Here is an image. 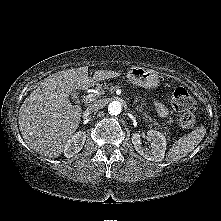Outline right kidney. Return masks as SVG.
I'll return each mask as SVG.
<instances>
[{
  "label": "right kidney",
  "mask_w": 221,
  "mask_h": 221,
  "mask_svg": "<svg viewBox=\"0 0 221 221\" xmlns=\"http://www.w3.org/2000/svg\"><path fill=\"white\" fill-rule=\"evenodd\" d=\"M86 140V133L83 131L76 132L70 137L64 146V155L67 158L75 156L84 146Z\"/></svg>",
  "instance_id": "obj_1"
}]
</instances>
